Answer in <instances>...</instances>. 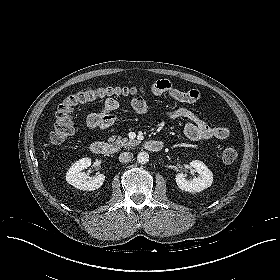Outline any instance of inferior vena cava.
<instances>
[{"instance_id": "1", "label": "inferior vena cava", "mask_w": 280, "mask_h": 280, "mask_svg": "<svg viewBox=\"0 0 280 280\" xmlns=\"http://www.w3.org/2000/svg\"><path fill=\"white\" fill-rule=\"evenodd\" d=\"M133 158V154L131 152H122L119 156V161L121 163H129Z\"/></svg>"}]
</instances>
